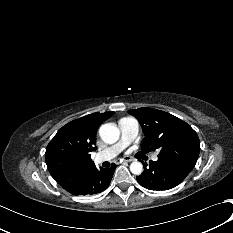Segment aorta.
Segmentation results:
<instances>
[{"label":"aorta","instance_id":"1","mask_svg":"<svg viewBox=\"0 0 233 233\" xmlns=\"http://www.w3.org/2000/svg\"><path fill=\"white\" fill-rule=\"evenodd\" d=\"M99 135L107 144L115 143L120 136V131L113 123H107L100 127ZM130 171L135 175H140L143 171V165L139 161H134L130 164Z\"/></svg>","mask_w":233,"mask_h":233}]
</instances>
